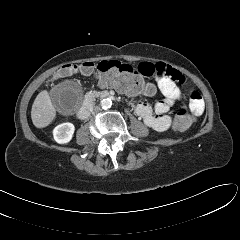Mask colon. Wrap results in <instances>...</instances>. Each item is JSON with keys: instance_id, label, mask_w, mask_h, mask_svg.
Here are the masks:
<instances>
[{"instance_id": "colon-1", "label": "colon", "mask_w": 240, "mask_h": 240, "mask_svg": "<svg viewBox=\"0 0 240 240\" xmlns=\"http://www.w3.org/2000/svg\"><path fill=\"white\" fill-rule=\"evenodd\" d=\"M76 73L96 76L100 83L114 86L119 91L130 95L151 96L155 91L152 84L145 82L138 67L116 60L63 65L55 76L61 78ZM193 121L192 114L183 107L175 115L173 125L177 130H185L191 126Z\"/></svg>"}]
</instances>
